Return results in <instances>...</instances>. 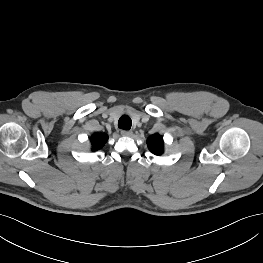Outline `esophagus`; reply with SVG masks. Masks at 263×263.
<instances>
[{
    "instance_id": "1",
    "label": "esophagus",
    "mask_w": 263,
    "mask_h": 263,
    "mask_svg": "<svg viewBox=\"0 0 263 263\" xmlns=\"http://www.w3.org/2000/svg\"><path fill=\"white\" fill-rule=\"evenodd\" d=\"M121 135L125 136V137L132 136V131H130V130H122L121 131Z\"/></svg>"
}]
</instances>
